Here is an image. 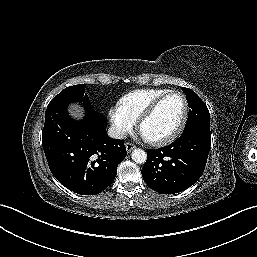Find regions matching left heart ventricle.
I'll return each mask as SVG.
<instances>
[{"mask_svg": "<svg viewBox=\"0 0 257 257\" xmlns=\"http://www.w3.org/2000/svg\"><path fill=\"white\" fill-rule=\"evenodd\" d=\"M184 110L181 96L173 94L165 99L155 113L144 122L141 134L149 140L171 134L178 126Z\"/></svg>", "mask_w": 257, "mask_h": 257, "instance_id": "obj_1", "label": "left heart ventricle"}]
</instances>
